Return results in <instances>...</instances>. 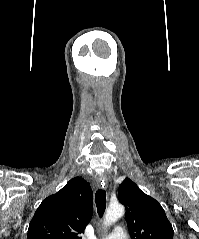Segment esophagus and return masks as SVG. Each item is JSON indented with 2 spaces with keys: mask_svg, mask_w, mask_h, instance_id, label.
Instances as JSON below:
<instances>
[{
  "mask_svg": "<svg viewBox=\"0 0 199 239\" xmlns=\"http://www.w3.org/2000/svg\"><path fill=\"white\" fill-rule=\"evenodd\" d=\"M99 186L102 188H105L108 185V180L106 178V176H102L99 178L98 180Z\"/></svg>",
  "mask_w": 199,
  "mask_h": 239,
  "instance_id": "34e87169",
  "label": "esophagus"
}]
</instances>
